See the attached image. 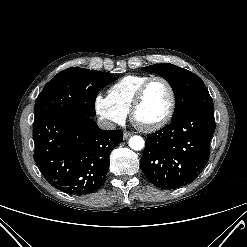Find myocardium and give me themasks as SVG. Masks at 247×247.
Masks as SVG:
<instances>
[{
  "label": "myocardium",
  "instance_id": "obj_1",
  "mask_svg": "<svg viewBox=\"0 0 247 247\" xmlns=\"http://www.w3.org/2000/svg\"><path fill=\"white\" fill-rule=\"evenodd\" d=\"M154 81H162L167 86L169 93H170V106H169L168 112L166 113V115L161 120H159L153 124L144 125V124L139 123L136 120V112L144 100L147 89L149 88L151 83ZM176 103H177L176 91H175L174 86L170 82V80L167 79L166 77L160 76V75L151 76L137 90V92L133 98V101L131 103V106H130V110H129L130 116H131V119L133 120V122L138 127H140L142 130L155 131V130H158V129L164 127L166 124H168L170 122V120L172 119V117L175 113Z\"/></svg>",
  "mask_w": 247,
  "mask_h": 247
}]
</instances>
